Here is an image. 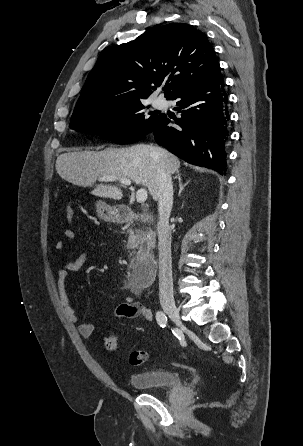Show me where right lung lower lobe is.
I'll return each mask as SVG.
<instances>
[{"label": "right lung lower lobe", "mask_w": 303, "mask_h": 446, "mask_svg": "<svg viewBox=\"0 0 303 446\" xmlns=\"http://www.w3.org/2000/svg\"><path fill=\"white\" fill-rule=\"evenodd\" d=\"M171 100H177L181 118L175 119L178 126L169 127L170 119L164 114L150 132L156 142L188 163L225 174L230 115L222 76Z\"/></svg>", "instance_id": "right-lung-lower-lobe-1"}]
</instances>
